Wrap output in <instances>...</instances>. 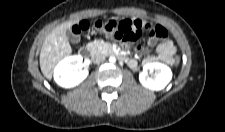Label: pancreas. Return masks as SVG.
Segmentation results:
<instances>
[{"label": "pancreas", "mask_w": 225, "mask_h": 132, "mask_svg": "<svg viewBox=\"0 0 225 132\" xmlns=\"http://www.w3.org/2000/svg\"><path fill=\"white\" fill-rule=\"evenodd\" d=\"M93 46L97 49V51H101L105 55H110L113 53L112 46L109 43L93 42Z\"/></svg>", "instance_id": "cf45deb5"}]
</instances>
